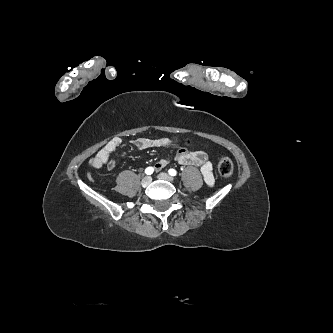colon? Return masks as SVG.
<instances>
[{
  "mask_svg": "<svg viewBox=\"0 0 333 333\" xmlns=\"http://www.w3.org/2000/svg\"><path fill=\"white\" fill-rule=\"evenodd\" d=\"M189 144L190 141H187ZM219 174L224 178H229L232 176L234 171V166L232 161L228 157H223L218 162Z\"/></svg>",
  "mask_w": 333,
  "mask_h": 333,
  "instance_id": "5ec220e1",
  "label": "colon"
}]
</instances>
